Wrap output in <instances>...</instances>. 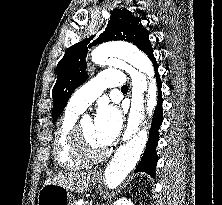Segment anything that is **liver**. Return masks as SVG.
<instances>
[{"label":"liver","instance_id":"obj_1","mask_svg":"<svg viewBox=\"0 0 222 205\" xmlns=\"http://www.w3.org/2000/svg\"><path fill=\"white\" fill-rule=\"evenodd\" d=\"M93 173L91 172H67V173H59L50 176L45 184H57L64 187L67 190L81 193L87 191L90 186V182L92 180Z\"/></svg>","mask_w":222,"mask_h":205}]
</instances>
